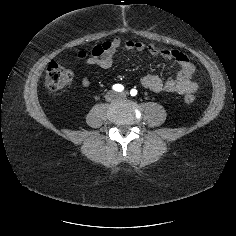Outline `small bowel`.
Instances as JSON below:
<instances>
[{
    "mask_svg": "<svg viewBox=\"0 0 236 236\" xmlns=\"http://www.w3.org/2000/svg\"><path fill=\"white\" fill-rule=\"evenodd\" d=\"M122 44L120 39H115L110 48L104 52L99 58L88 57L84 60V65L87 67L98 65L102 69H110L115 64L116 49ZM123 48L126 52L148 50L153 56L163 59L175 61L179 70L175 76H170L165 80L155 75H146L140 78V84L155 93H171V94H192L198 88L200 83L192 79L194 66L187 55L177 49L160 48L156 44H146L142 41L127 40L123 43ZM83 87H89L91 80L88 76L81 79Z\"/></svg>",
    "mask_w": 236,
    "mask_h": 236,
    "instance_id": "c3829d8e",
    "label": "small bowel"
}]
</instances>
